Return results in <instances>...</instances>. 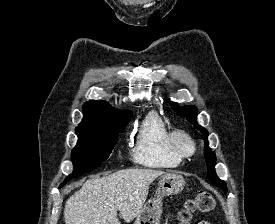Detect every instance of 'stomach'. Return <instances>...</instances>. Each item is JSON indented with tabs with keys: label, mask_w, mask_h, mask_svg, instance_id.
<instances>
[{
	"label": "stomach",
	"mask_w": 275,
	"mask_h": 224,
	"mask_svg": "<svg viewBox=\"0 0 275 224\" xmlns=\"http://www.w3.org/2000/svg\"><path fill=\"white\" fill-rule=\"evenodd\" d=\"M185 185L181 175L174 173L163 175L156 190V196L150 199L138 214L134 224H159L162 215V198L180 193Z\"/></svg>",
	"instance_id": "0dacf381"
}]
</instances>
